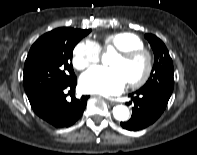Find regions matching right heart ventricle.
Wrapping results in <instances>:
<instances>
[{
  "instance_id": "right-heart-ventricle-1",
  "label": "right heart ventricle",
  "mask_w": 197,
  "mask_h": 155,
  "mask_svg": "<svg viewBox=\"0 0 197 155\" xmlns=\"http://www.w3.org/2000/svg\"><path fill=\"white\" fill-rule=\"evenodd\" d=\"M102 46L104 48H113L119 51L125 49L143 48L144 42L137 34L123 31L105 36L102 40Z\"/></svg>"
}]
</instances>
